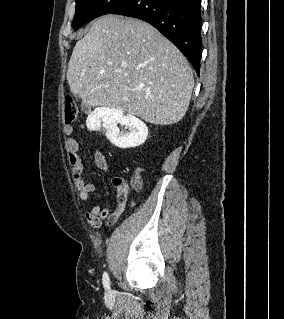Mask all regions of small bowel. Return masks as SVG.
I'll use <instances>...</instances> for the list:
<instances>
[{
	"instance_id": "c3829d8e",
	"label": "small bowel",
	"mask_w": 284,
	"mask_h": 319,
	"mask_svg": "<svg viewBox=\"0 0 284 319\" xmlns=\"http://www.w3.org/2000/svg\"><path fill=\"white\" fill-rule=\"evenodd\" d=\"M64 132L66 135H71L73 133V127L71 125H66L64 127ZM65 150L67 153L68 162L72 169L74 184L78 190L80 200L85 202L91 201L92 194L96 190V185L94 182H88L82 177L84 166L79 155V144L77 140L72 137L67 138L65 141ZM94 162L96 167L103 172L109 171V164L106 156L100 150L95 151ZM116 202L117 205L113 211L108 208H103L97 204L93 205L91 209L85 213V220L95 230H98L101 227L102 221H105L107 225L115 224L124 213L126 207V188L118 186Z\"/></svg>"
}]
</instances>
